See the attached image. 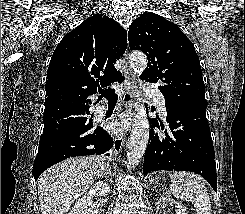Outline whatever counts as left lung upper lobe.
Returning <instances> with one entry per match:
<instances>
[{"label":"left lung upper lobe","instance_id":"left-lung-upper-lobe-1","mask_svg":"<svg viewBox=\"0 0 245 214\" xmlns=\"http://www.w3.org/2000/svg\"><path fill=\"white\" fill-rule=\"evenodd\" d=\"M129 46L141 50L148 64L140 78L161 83L166 107L207 106L205 84L194 45L174 23L144 12L129 27Z\"/></svg>","mask_w":245,"mask_h":214}]
</instances>
